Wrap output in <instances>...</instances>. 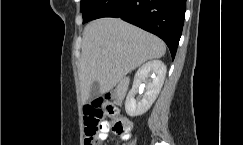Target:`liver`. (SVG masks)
<instances>
[{
  "mask_svg": "<svg viewBox=\"0 0 243 145\" xmlns=\"http://www.w3.org/2000/svg\"><path fill=\"white\" fill-rule=\"evenodd\" d=\"M165 52L161 39L121 19L90 22L83 32L78 67L83 103L89 99L94 81L99 82L100 92L106 93L129 72Z\"/></svg>",
  "mask_w": 243,
  "mask_h": 145,
  "instance_id": "liver-1",
  "label": "liver"
}]
</instances>
